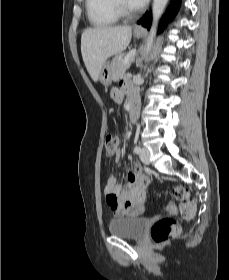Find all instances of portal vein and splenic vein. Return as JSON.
<instances>
[{
    "label": "portal vein and splenic vein",
    "mask_w": 229,
    "mask_h": 280,
    "mask_svg": "<svg viewBox=\"0 0 229 280\" xmlns=\"http://www.w3.org/2000/svg\"><path fill=\"white\" fill-rule=\"evenodd\" d=\"M136 53V50H131L124 58L123 64L126 66L130 63V61L133 59L134 55Z\"/></svg>",
    "instance_id": "portal-vein-and-splenic-vein-1"
}]
</instances>
